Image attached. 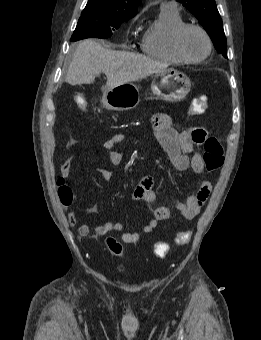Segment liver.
<instances>
[{
    "mask_svg": "<svg viewBox=\"0 0 261 340\" xmlns=\"http://www.w3.org/2000/svg\"><path fill=\"white\" fill-rule=\"evenodd\" d=\"M166 68L167 64L144 55L106 49L95 39H85L74 52L66 82L71 85L91 84L96 76L104 73L107 77L105 88H113Z\"/></svg>",
    "mask_w": 261,
    "mask_h": 340,
    "instance_id": "1",
    "label": "liver"
}]
</instances>
